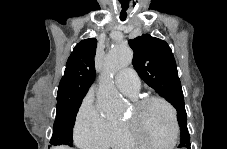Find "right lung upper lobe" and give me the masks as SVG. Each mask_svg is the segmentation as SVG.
<instances>
[{"label":"right lung upper lobe","instance_id":"obj_1","mask_svg":"<svg viewBox=\"0 0 227 149\" xmlns=\"http://www.w3.org/2000/svg\"><path fill=\"white\" fill-rule=\"evenodd\" d=\"M96 46L97 40L89 38L82 40L74 47L59 84L58 102L84 98L95 79Z\"/></svg>","mask_w":227,"mask_h":149}]
</instances>
